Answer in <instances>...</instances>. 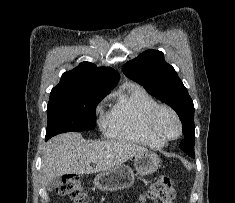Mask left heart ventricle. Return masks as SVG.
Listing matches in <instances>:
<instances>
[{
	"mask_svg": "<svg viewBox=\"0 0 235 203\" xmlns=\"http://www.w3.org/2000/svg\"><path fill=\"white\" fill-rule=\"evenodd\" d=\"M155 128L158 132L167 136H175L178 132V126L175 119L167 111H163L159 114L155 123Z\"/></svg>",
	"mask_w": 235,
	"mask_h": 203,
	"instance_id": "left-heart-ventricle-1",
	"label": "left heart ventricle"
}]
</instances>
